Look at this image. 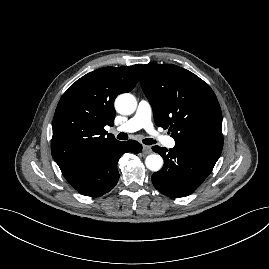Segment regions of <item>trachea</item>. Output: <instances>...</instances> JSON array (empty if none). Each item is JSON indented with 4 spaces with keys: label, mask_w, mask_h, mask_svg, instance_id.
Here are the masks:
<instances>
[{
    "label": "trachea",
    "mask_w": 269,
    "mask_h": 269,
    "mask_svg": "<svg viewBox=\"0 0 269 269\" xmlns=\"http://www.w3.org/2000/svg\"><path fill=\"white\" fill-rule=\"evenodd\" d=\"M117 138L119 140H127L128 139V135L126 133H119L117 135ZM143 143L146 144V145H152V144H155L156 141L153 140L152 138H146L143 140Z\"/></svg>",
    "instance_id": "3493384b"
}]
</instances>
